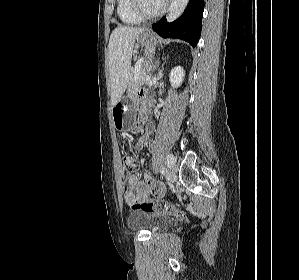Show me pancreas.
Returning a JSON list of instances; mask_svg holds the SVG:
<instances>
[{
  "label": "pancreas",
  "mask_w": 299,
  "mask_h": 280,
  "mask_svg": "<svg viewBox=\"0 0 299 280\" xmlns=\"http://www.w3.org/2000/svg\"><path fill=\"white\" fill-rule=\"evenodd\" d=\"M146 73H147L146 64L141 69L140 76H139L138 80H135V72L131 73V79H130V83H129V87H128V90L130 93H133L137 88L140 87L141 84L144 83V78H145Z\"/></svg>",
  "instance_id": "cf45deb5"
}]
</instances>
